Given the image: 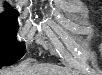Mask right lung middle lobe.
I'll return each instance as SVG.
<instances>
[{
    "mask_svg": "<svg viewBox=\"0 0 102 75\" xmlns=\"http://www.w3.org/2000/svg\"><path fill=\"white\" fill-rule=\"evenodd\" d=\"M16 18L14 15H0V67L16 63L25 53L24 43L16 40Z\"/></svg>",
    "mask_w": 102,
    "mask_h": 75,
    "instance_id": "right-lung-middle-lobe-1",
    "label": "right lung middle lobe"
}]
</instances>
